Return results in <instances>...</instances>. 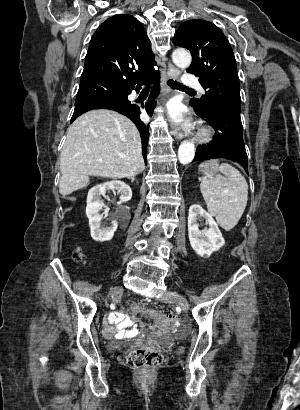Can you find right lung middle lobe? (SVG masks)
Here are the masks:
<instances>
[{"mask_svg": "<svg viewBox=\"0 0 300 410\" xmlns=\"http://www.w3.org/2000/svg\"><path fill=\"white\" fill-rule=\"evenodd\" d=\"M128 91L102 82H80L75 105L97 99H111L128 102Z\"/></svg>", "mask_w": 300, "mask_h": 410, "instance_id": "obj_1", "label": "right lung middle lobe"}]
</instances>
